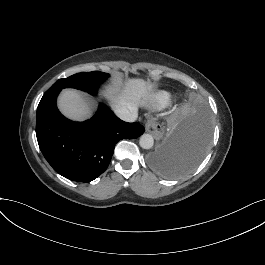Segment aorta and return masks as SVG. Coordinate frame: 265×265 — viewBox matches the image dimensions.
I'll return each mask as SVG.
<instances>
[{
    "label": "aorta",
    "mask_w": 265,
    "mask_h": 265,
    "mask_svg": "<svg viewBox=\"0 0 265 265\" xmlns=\"http://www.w3.org/2000/svg\"><path fill=\"white\" fill-rule=\"evenodd\" d=\"M139 144L143 149H150L154 144V139L150 134H143L139 139Z\"/></svg>",
    "instance_id": "1"
}]
</instances>
